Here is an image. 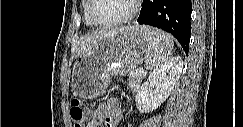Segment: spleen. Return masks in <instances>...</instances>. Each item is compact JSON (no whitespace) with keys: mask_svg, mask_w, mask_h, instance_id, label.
Segmentation results:
<instances>
[{"mask_svg":"<svg viewBox=\"0 0 243 127\" xmlns=\"http://www.w3.org/2000/svg\"><path fill=\"white\" fill-rule=\"evenodd\" d=\"M143 33L150 43V51L145 57V65L149 70H157L163 66L172 55L173 41L169 34L148 27Z\"/></svg>","mask_w":243,"mask_h":127,"instance_id":"3e777b00","label":"spleen"}]
</instances>
